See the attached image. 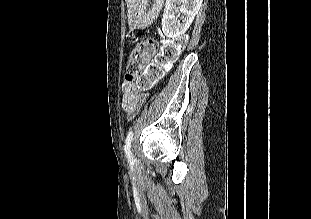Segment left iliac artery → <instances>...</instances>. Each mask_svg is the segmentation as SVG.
Instances as JSON below:
<instances>
[{
	"label": "left iliac artery",
	"mask_w": 311,
	"mask_h": 219,
	"mask_svg": "<svg viewBox=\"0 0 311 219\" xmlns=\"http://www.w3.org/2000/svg\"><path fill=\"white\" fill-rule=\"evenodd\" d=\"M132 140H133V131L131 130L127 134V137L125 139V146H124L126 156L130 162H133V156H132V151H131Z\"/></svg>",
	"instance_id": "1"
}]
</instances>
